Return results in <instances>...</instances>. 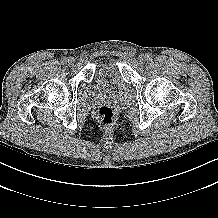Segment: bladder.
Segmentation results:
<instances>
[{
  "instance_id": "31cf9c89",
  "label": "bladder",
  "mask_w": 218,
  "mask_h": 218,
  "mask_svg": "<svg viewBox=\"0 0 218 218\" xmlns=\"http://www.w3.org/2000/svg\"><path fill=\"white\" fill-rule=\"evenodd\" d=\"M94 81L101 87H112L123 90L126 86L120 67L113 60L100 59L94 68Z\"/></svg>"
}]
</instances>
